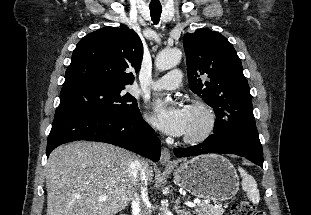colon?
<instances>
[{"instance_id":"1","label":"colon","mask_w":311,"mask_h":215,"mask_svg":"<svg viewBox=\"0 0 311 215\" xmlns=\"http://www.w3.org/2000/svg\"><path fill=\"white\" fill-rule=\"evenodd\" d=\"M232 215H266V213L256 210L253 203L244 200L233 204Z\"/></svg>"}]
</instances>
